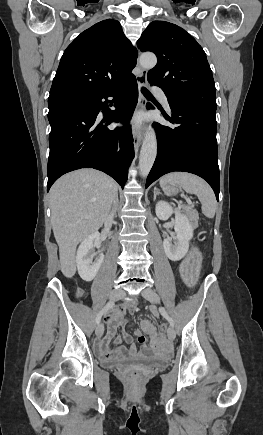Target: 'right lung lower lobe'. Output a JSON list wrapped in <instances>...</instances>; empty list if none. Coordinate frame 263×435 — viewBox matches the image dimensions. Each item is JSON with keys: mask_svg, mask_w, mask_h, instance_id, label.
<instances>
[{"mask_svg": "<svg viewBox=\"0 0 263 435\" xmlns=\"http://www.w3.org/2000/svg\"><path fill=\"white\" fill-rule=\"evenodd\" d=\"M108 97H114L115 110L108 112ZM104 99L106 101H104ZM138 100L135 76L113 89L89 98L56 104L49 107L48 119L50 154L48 159L47 191L63 174L94 168L113 177L124 187L128 167L134 158V146L129 120ZM106 122V125H101ZM110 122H122V128L110 130Z\"/></svg>", "mask_w": 263, "mask_h": 435, "instance_id": "obj_1", "label": "right lung lower lobe"}]
</instances>
